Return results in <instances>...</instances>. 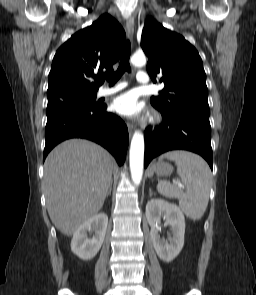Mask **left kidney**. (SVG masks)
I'll use <instances>...</instances> for the list:
<instances>
[{
    "label": "left kidney",
    "mask_w": 256,
    "mask_h": 295,
    "mask_svg": "<svg viewBox=\"0 0 256 295\" xmlns=\"http://www.w3.org/2000/svg\"><path fill=\"white\" fill-rule=\"evenodd\" d=\"M161 217L171 227L172 237L169 242L161 239L159 224ZM146 219L151 226L150 236L158 257L164 262L174 260L184 245L185 218L181 209L173 203L155 198L146 205Z\"/></svg>",
    "instance_id": "left-kidney-1"
}]
</instances>
